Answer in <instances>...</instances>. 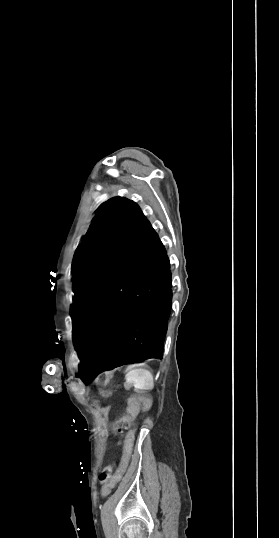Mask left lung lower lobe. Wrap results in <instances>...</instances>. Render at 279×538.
I'll return each instance as SVG.
<instances>
[{
    "label": "left lung lower lobe",
    "mask_w": 279,
    "mask_h": 538,
    "mask_svg": "<svg viewBox=\"0 0 279 538\" xmlns=\"http://www.w3.org/2000/svg\"><path fill=\"white\" fill-rule=\"evenodd\" d=\"M171 287L169 259L152 228L73 327L82 380L131 359L162 358Z\"/></svg>",
    "instance_id": "left-lung-lower-lobe-1"
}]
</instances>
